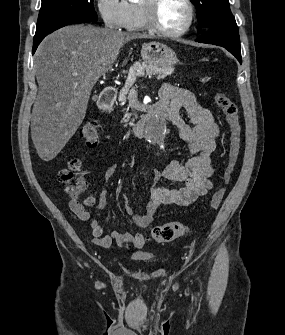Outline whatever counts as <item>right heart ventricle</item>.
<instances>
[{
  "label": "right heart ventricle",
  "instance_id": "e07e8e85",
  "mask_svg": "<svg viewBox=\"0 0 285 335\" xmlns=\"http://www.w3.org/2000/svg\"><path fill=\"white\" fill-rule=\"evenodd\" d=\"M132 16L129 17L125 27L130 31H143L147 28L146 19H145V1H129L126 2ZM162 60H172L169 57H165Z\"/></svg>",
  "mask_w": 285,
  "mask_h": 335
}]
</instances>
